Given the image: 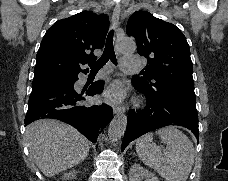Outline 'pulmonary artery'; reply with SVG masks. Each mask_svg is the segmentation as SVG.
<instances>
[{
    "label": "pulmonary artery",
    "mask_w": 228,
    "mask_h": 181,
    "mask_svg": "<svg viewBox=\"0 0 228 181\" xmlns=\"http://www.w3.org/2000/svg\"><path fill=\"white\" fill-rule=\"evenodd\" d=\"M143 57H122L120 71H137L138 62H143Z\"/></svg>",
    "instance_id": "1"
}]
</instances>
